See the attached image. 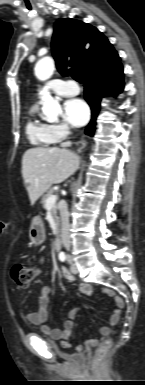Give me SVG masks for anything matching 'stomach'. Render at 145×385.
<instances>
[{
  "mask_svg": "<svg viewBox=\"0 0 145 385\" xmlns=\"http://www.w3.org/2000/svg\"><path fill=\"white\" fill-rule=\"evenodd\" d=\"M29 239L30 242L34 245H40L45 240L44 225L41 219L38 217L32 220V224L29 229Z\"/></svg>",
  "mask_w": 145,
  "mask_h": 385,
  "instance_id": "0dacf381",
  "label": "stomach"
}]
</instances>
